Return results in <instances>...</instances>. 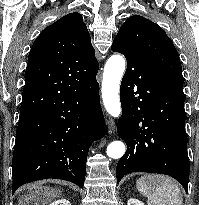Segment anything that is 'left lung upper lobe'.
Returning a JSON list of instances; mask_svg holds the SVG:
<instances>
[{
  "label": "left lung upper lobe",
  "instance_id": "obj_1",
  "mask_svg": "<svg viewBox=\"0 0 199 205\" xmlns=\"http://www.w3.org/2000/svg\"><path fill=\"white\" fill-rule=\"evenodd\" d=\"M115 44L146 61L168 87L183 93L182 67L178 52L171 39L157 24L142 16H131L119 29L112 46Z\"/></svg>",
  "mask_w": 199,
  "mask_h": 205
}]
</instances>
